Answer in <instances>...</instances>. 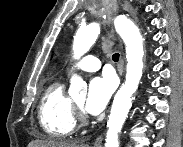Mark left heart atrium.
<instances>
[{
  "instance_id": "39dd6f15",
  "label": "left heart atrium",
  "mask_w": 183,
  "mask_h": 147,
  "mask_svg": "<svg viewBox=\"0 0 183 147\" xmlns=\"http://www.w3.org/2000/svg\"><path fill=\"white\" fill-rule=\"evenodd\" d=\"M116 84L110 75L95 77L89 84L88 97L85 103V109L90 114L101 113L108 104Z\"/></svg>"
}]
</instances>
